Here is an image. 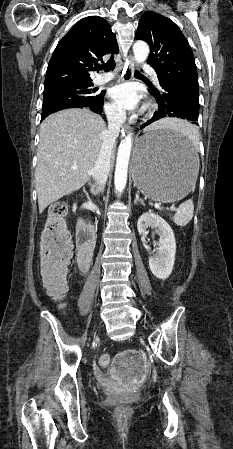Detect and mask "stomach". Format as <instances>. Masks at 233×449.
<instances>
[{
    "instance_id": "1",
    "label": "stomach",
    "mask_w": 233,
    "mask_h": 449,
    "mask_svg": "<svg viewBox=\"0 0 233 449\" xmlns=\"http://www.w3.org/2000/svg\"><path fill=\"white\" fill-rule=\"evenodd\" d=\"M199 168L194 145L172 128H148L138 140L131 174L136 187L160 202L182 199L193 188Z\"/></svg>"
}]
</instances>
